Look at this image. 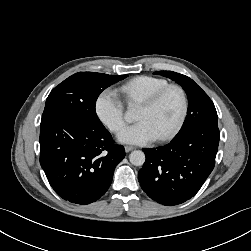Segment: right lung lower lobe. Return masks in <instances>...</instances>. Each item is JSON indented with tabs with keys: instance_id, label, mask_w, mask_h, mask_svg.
Returning a JSON list of instances; mask_svg holds the SVG:
<instances>
[{
	"instance_id": "right-lung-lower-lobe-1",
	"label": "right lung lower lobe",
	"mask_w": 251,
	"mask_h": 251,
	"mask_svg": "<svg viewBox=\"0 0 251 251\" xmlns=\"http://www.w3.org/2000/svg\"><path fill=\"white\" fill-rule=\"evenodd\" d=\"M40 164L54 191L64 200L86 205L109 188L114 169L125 157L103 126L62 114L41 120Z\"/></svg>"
}]
</instances>
